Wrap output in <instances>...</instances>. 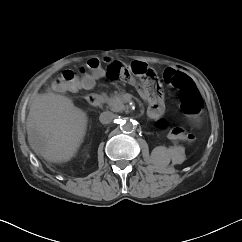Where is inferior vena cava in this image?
<instances>
[{
  "mask_svg": "<svg viewBox=\"0 0 242 242\" xmlns=\"http://www.w3.org/2000/svg\"><path fill=\"white\" fill-rule=\"evenodd\" d=\"M116 115L110 111H105L100 114L99 120L102 124H109L115 119Z\"/></svg>",
  "mask_w": 242,
  "mask_h": 242,
  "instance_id": "inferior-vena-cava-1",
  "label": "inferior vena cava"
}]
</instances>
